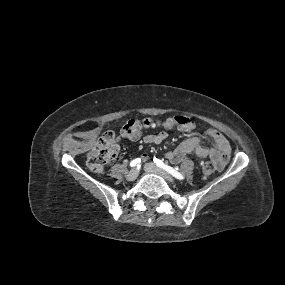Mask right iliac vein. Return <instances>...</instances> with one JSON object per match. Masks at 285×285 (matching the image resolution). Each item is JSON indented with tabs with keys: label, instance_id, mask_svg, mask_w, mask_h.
Returning a JSON list of instances; mask_svg holds the SVG:
<instances>
[{
	"label": "right iliac vein",
	"instance_id": "63e3f726",
	"mask_svg": "<svg viewBox=\"0 0 285 285\" xmlns=\"http://www.w3.org/2000/svg\"><path fill=\"white\" fill-rule=\"evenodd\" d=\"M137 176H138V170L136 168H134L128 172V174L126 175V179L128 181H133L137 178Z\"/></svg>",
	"mask_w": 285,
	"mask_h": 285
}]
</instances>
